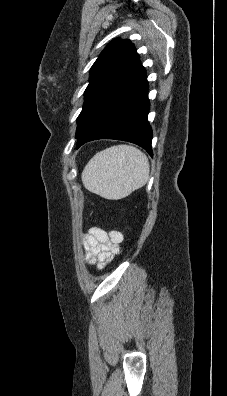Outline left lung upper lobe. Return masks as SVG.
Here are the masks:
<instances>
[{"instance_id": "5c2ea615", "label": "left lung upper lobe", "mask_w": 227, "mask_h": 396, "mask_svg": "<svg viewBox=\"0 0 227 396\" xmlns=\"http://www.w3.org/2000/svg\"><path fill=\"white\" fill-rule=\"evenodd\" d=\"M140 66L130 40L114 39L106 46L90 71L83 109L77 118L76 138L96 105Z\"/></svg>"}]
</instances>
